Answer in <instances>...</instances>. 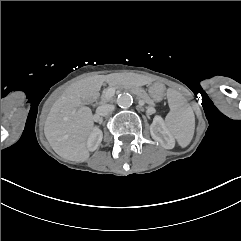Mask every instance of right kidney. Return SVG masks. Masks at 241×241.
Here are the masks:
<instances>
[{"instance_id":"ca27d5eb","label":"right kidney","mask_w":241,"mask_h":241,"mask_svg":"<svg viewBox=\"0 0 241 241\" xmlns=\"http://www.w3.org/2000/svg\"><path fill=\"white\" fill-rule=\"evenodd\" d=\"M102 138H103L102 131L98 127H95L90 133L87 140L88 150L91 152L95 151L100 145V143L102 142Z\"/></svg>"}]
</instances>
